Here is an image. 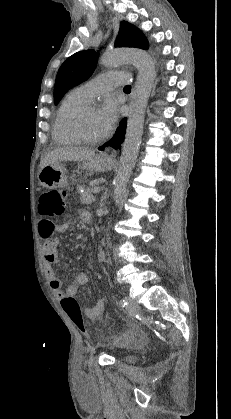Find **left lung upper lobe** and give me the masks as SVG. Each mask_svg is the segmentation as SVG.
I'll return each instance as SVG.
<instances>
[{
  "label": "left lung upper lobe",
  "instance_id": "left-lung-upper-lobe-1",
  "mask_svg": "<svg viewBox=\"0 0 231 419\" xmlns=\"http://www.w3.org/2000/svg\"><path fill=\"white\" fill-rule=\"evenodd\" d=\"M115 47L148 49V41L137 27L122 21L115 41ZM97 57L98 55L94 50L80 51L70 56L61 65L54 86L55 104H58L67 90L91 76L96 67Z\"/></svg>",
  "mask_w": 231,
  "mask_h": 419
}]
</instances>
